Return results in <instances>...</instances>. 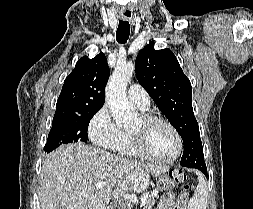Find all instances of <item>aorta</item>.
<instances>
[{
    "label": "aorta",
    "instance_id": "1",
    "mask_svg": "<svg viewBox=\"0 0 253 209\" xmlns=\"http://www.w3.org/2000/svg\"><path fill=\"white\" fill-rule=\"evenodd\" d=\"M134 73L132 63L117 64L106 86V102L118 127L133 124L137 113L126 96L127 84Z\"/></svg>",
    "mask_w": 253,
    "mask_h": 209
}]
</instances>
